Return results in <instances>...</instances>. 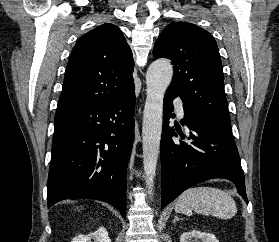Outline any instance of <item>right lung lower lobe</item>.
<instances>
[{
    "label": "right lung lower lobe",
    "instance_id": "1",
    "mask_svg": "<svg viewBox=\"0 0 279 242\" xmlns=\"http://www.w3.org/2000/svg\"><path fill=\"white\" fill-rule=\"evenodd\" d=\"M132 91L114 102L55 116L48 208L64 199H96L126 214V168L134 139Z\"/></svg>",
    "mask_w": 279,
    "mask_h": 242
}]
</instances>
